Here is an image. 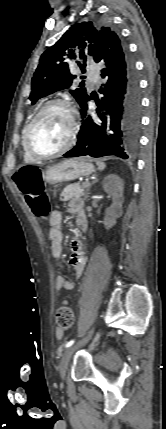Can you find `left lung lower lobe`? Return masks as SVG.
<instances>
[{
    "instance_id": "0a47b994",
    "label": "left lung lower lobe",
    "mask_w": 166,
    "mask_h": 429,
    "mask_svg": "<svg viewBox=\"0 0 166 429\" xmlns=\"http://www.w3.org/2000/svg\"><path fill=\"white\" fill-rule=\"evenodd\" d=\"M96 63L106 78L96 100L95 116H87L89 96L81 106L82 125L76 146L64 154L78 156L131 157L137 149L141 122V94L134 62L120 38L101 43Z\"/></svg>"
}]
</instances>
